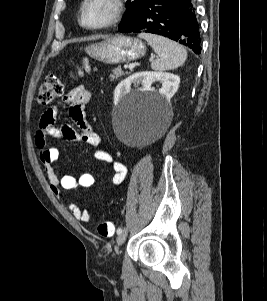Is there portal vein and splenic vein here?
<instances>
[{"instance_id":"1","label":"portal vein and splenic vein","mask_w":267,"mask_h":301,"mask_svg":"<svg viewBox=\"0 0 267 301\" xmlns=\"http://www.w3.org/2000/svg\"><path fill=\"white\" fill-rule=\"evenodd\" d=\"M124 68L125 69H132V68H134V65H125Z\"/></svg>"}]
</instances>
